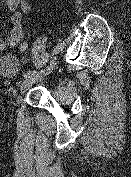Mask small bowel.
Instances as JSON below:
<instances>
[{
	"instance_id": "obj_1",
	"label": "small bowel",
	"mask_w": 131,
	"mask_h": 177,
	"mask_svg": "<svg viewBox=\"0 0 131 177\" xmlns=\"http://www.w3.org/2000/svg\"><path fill=\"white\" fill-rule=\"evenodd\" d=\"M6 4L10 13V33L6 39L0 38V51L22 42L26 36L22 25L23 18L30 11V5L27 0H6ZM26 47L27 43L22 42L21 49L24 50Z\"/></svg>"
}]
</instances>
